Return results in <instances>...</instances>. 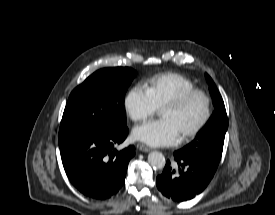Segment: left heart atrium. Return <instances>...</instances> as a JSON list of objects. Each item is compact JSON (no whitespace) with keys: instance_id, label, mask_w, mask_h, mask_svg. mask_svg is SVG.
<instances>
[{"instance_id":"1","label":"left heart atrium","mask_w":275,"mask_h":215,"mask_svg":"<svg viewBox=\"0 0 275 215\" xmlns=\"http://www.w3.org/2000/svg\"><path fill=\"white\" fill-rule=\"evenodd\" d=\"M133 136L151 146L174 145L181 138L173 122L163 118L135 127Z\"/></svg>"}]
</instances>
